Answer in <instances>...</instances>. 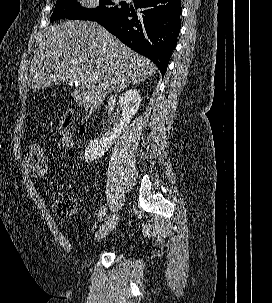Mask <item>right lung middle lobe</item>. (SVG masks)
I'll list each match as a JSON object with an SVG mask.
<instances>
[{"label":"right lung middle lobe","instance_id":"obj_1","mask_svg":"<svg viewBox=\"0 0 272 303\" xmlns=\"http://www.w3.org/2000/svg\"><path fill=\"white\" fill-rule=\"evenodd\" d=\"M113 5L114 3L111 0H100L97 8L87 9L76 0H57L50 21L61 18L100 21L115 16L125 8V5H121V8Z\"/></svg>","mask_w":272,"mask_h":303}]
</instances>
